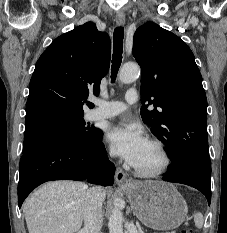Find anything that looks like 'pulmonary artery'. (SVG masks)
I'll return each mask as SVG.
<instances>
[{
    "label": "pulmonary artery",
    "mask_w": 227,
    "mask_h": 233,
    "mask_svg": "<svg viewBox=\"0 0 227 233\" xmlns=\"http://www.w3.org/2000/svg\"><path fill=\"white\" fill-rule=\"evenodd\" d=\"M138 93L135 89H129L125 94V101H103L97 100V108L93 110L91 118L93 120L107 119L115 117L128 109V106L136 103Z\"/></svg>",
    "instance_id": "e3ab8cb5"
}]
</instances>
